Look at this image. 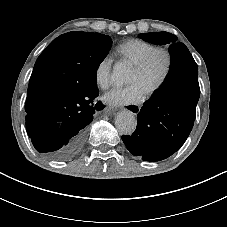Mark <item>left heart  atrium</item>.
I'll use <instances>...</instances> for the list:
<instances>
[{
	"label": "left heart atrium",
	"instance_id": "1",
	"mask_svg": "<svg viewBox=\"0 0 227 227\" xmlns=\"http://www.w3.org/2000/svg\"><path fill=\"white\" fill-rule=\"evenodd\" d=\"M147 94V90L141 85L132 84L126 88H115L106 92L103 100L110 107H123L140 104Z\"/></svg>",
	"mask_w": 227,
	"mask_h": 227
}]
</instances>
